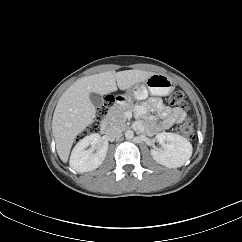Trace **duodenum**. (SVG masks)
<instances>
[{"label":"duodenum","mask_w":242,"mask_h":242,"mask_svg":"<svg viewBox=\"0 0 242 242\" xmlns=\"http://www.w3.org/2000/svg\"><path fill=\"white\" fill-rule=\"evenodd\" d=\"M118 100H122V98H118ZM100 131L103 134H106L108 132V124L106 120H103L100 124Z\"/></svg>","instance_id":"410a0bca"}]
</instances>
